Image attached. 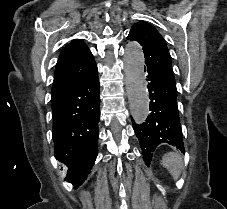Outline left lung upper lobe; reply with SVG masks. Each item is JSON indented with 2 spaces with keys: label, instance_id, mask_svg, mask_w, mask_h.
<instances>
[{
  "label": "left lung upper lobe",
  "instance_id": "5c2ea615",
  "mask_svg": "<svg viewBox=\"0 0 227 209\" xmlns=\"http://www.w3.org/2000/svg\"><path fill=\"white\" fill-rule=\"evenodd\" d=\"M127 40H135L143 47L147 72H156L176 88L171 56L166 42L153 25L142 21L135 23Z\"/></svg>",
  "mask_w": 227,
  "mask_h": 209
}]
</instances>
